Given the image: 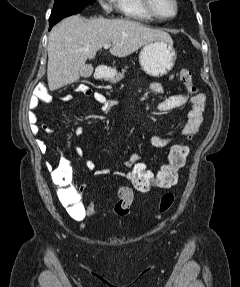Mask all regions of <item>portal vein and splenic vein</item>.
I'll list each match as a JSON object with an SVG mask.
<instances>
[{"mask_svg":"<svg viewBox=\"0 0 240 287\" xmlns=\"http://www.w3.org/2000/svg\"><path fill=\"white\" fill-rule=\"evenodd\" d=\"M111 46V44H104V49H108Z\"/></svg>","mask_w":240,"mask_h":287,"instance_id":"18ae733b","label":"portal vein and splenic vein"}]
</instances>
